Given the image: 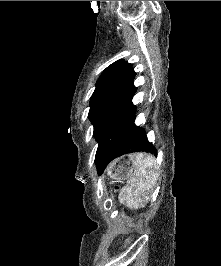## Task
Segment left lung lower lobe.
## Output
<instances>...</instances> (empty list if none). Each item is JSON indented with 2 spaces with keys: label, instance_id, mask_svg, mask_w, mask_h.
I'll return each mask as SVG.
<instances>
[{
  "label": "left lung lower lobe",
  "instance_id": "obj_1",
  "mask_svg": "<svg viewBox=\"0 0 221 266\" xmlns=\"http://www.w3.org/2000/svg\"><path fill=\"white\" fill-rule=\"evenodd\" d=\"M133 95L115 114L98 145L95 163L99 174L113 159L124 154L140 151L157 153L148 141L144 129L134 124Z\"/></svg>",
  "mask_w": 221,
  "mask_h": 266
}]
</instances>
